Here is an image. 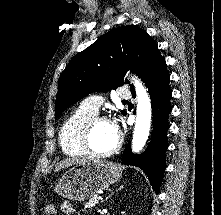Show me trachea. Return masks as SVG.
Wrapping results in <instances>:
<instances>
[{"label":"trachea","instance_id":"3493384b","mask_svg":"<svg viewBox=\"0 0 221 215\" xmlns=\"http://www.w3.org/2000/svg\"><path fill=\"white\" fill-rule=\"evenodd\" d=\"M127 101L123 100V103H126Z\"/></svg>","mask_w":221,"mask_h":215}]
</instances>
